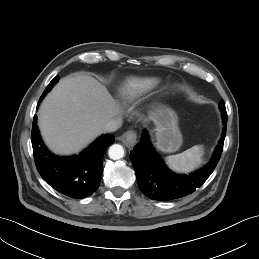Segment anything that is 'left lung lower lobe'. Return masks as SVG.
Returning <instances> with one entry per match:
<instances>
[{"instance_id":"left-lung-lower-lobe-1","label":"left lung lower lobe","mask_w":259,"mask_h":259,"mask_svg":"<svg viewBox=\"0 0 259 259\" xmlns=\"http://www.w3.org/2000/svg\"><path fill=\"white\" fill-rule=\"evenodd\" d=\"M223 132L212 159L202 169L189 175H176L172 173L156 151L152 148L146 131H143L140 142L130 153L134 166L138 186L150 199L168 201L178 199L193 193L211 175L215 169L223 150L227 127V113L225 106H219Z\"/></svg>"}]
</instances>
